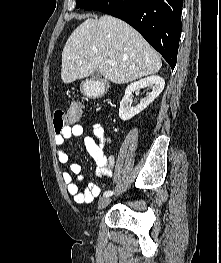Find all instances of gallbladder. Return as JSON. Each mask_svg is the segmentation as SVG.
<instances>
[{
    "label": "gallbladder",
    "mask_w": 221,
    "mask_h": 263,
    "mask_svg": "<svg viewBox=\"0 0 221 263\" xmlns=\"http://www.w3.org/2000/svg\"><path fill=\"white\" fill-rule=\"evenodd\" d=\"M101 78V73L100 71L97 69L93 74H92V79L93 80H100Z\"/></svg>",
    "instance_id": "bac80fb5"
}]
</instances>
